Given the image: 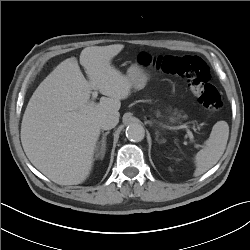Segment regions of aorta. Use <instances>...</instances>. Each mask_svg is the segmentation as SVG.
<instances>
[{
    "label": "aorta",
    "instance_id": "762f6f07",
    "mask_svg": "<svg viewBox=\"0 0 250 250\" xmlns=\"http://www.w3.org/2000/svg\"><path fill=\"white\" fill-rule=\"evenodd\" d=\"M126 136L130 141L140 142L144 139L145 130L141 124L131 123L126 128Z\"/></svg>",
    "mask_w": 250,
    "mask_h": 250
}]
</instances>
